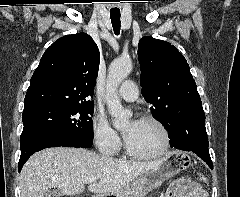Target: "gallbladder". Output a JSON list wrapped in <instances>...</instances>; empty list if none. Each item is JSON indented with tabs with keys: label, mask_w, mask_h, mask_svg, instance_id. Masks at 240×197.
<instances>
[{
	"label": "gallbladder",
	"mask_w": 240,
	"mask_h": 197,
	"mask_svg": "<svg viewBox=\"0 0 240 197\" xmlns=\"http://www.w3.org/2000/svg\"><path fill=\"white\" fill-rule=\"evenodd\" d=\"M44 197H61V193L57 189H49L45 192Z\"/></svg>",
	"instance_id": "bac80fb5"
}]
</instances>
